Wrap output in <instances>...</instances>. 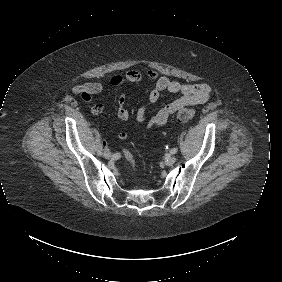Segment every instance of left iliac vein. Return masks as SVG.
Masks as SVG:
<instances>
[{
    "label": "left iliac vein",
    "mask_w": 282,
    "mask_h": 282,
    "mask_svg": "<svg viewBox=\"0 0 282 282\" xmlns=\"http://www.w3.org/2000/svg\"><path fill=\"white\" fill-rule=\"evenodd\" d=\"M175 162H176V157L175 156L169 155V156H167L165 158V164L168 165V166L173 165Z\"/></svg>",
    "instance_id": "left-iliac-vein-1"
}]
</instances>
